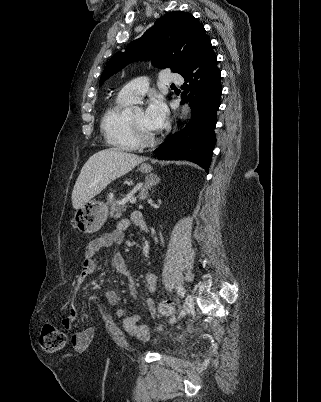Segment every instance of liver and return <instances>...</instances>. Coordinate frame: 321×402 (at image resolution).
<instances>
[{"instance_id":"1","label":"liver","mask_w":321,"mask_h":402,"mask_svg":"<svg viewBox=\"0 0 321 402\" xmlns=\"http://www.w3.org/2000/svg\"><path fill=\"white\" fill-rule=\"evenodd\" d=\"M144 160V157L117 148L104 149L93 154L82 167L74 185L73 208H81L113 180L128 173Z\"/></svg>"}]
</instances>
